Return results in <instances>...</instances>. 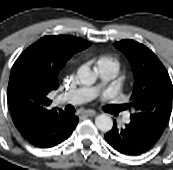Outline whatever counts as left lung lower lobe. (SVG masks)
<instances>
[{"label": "left lung lower lobe", "mask_w": 173, "mask_h": 170, "mask_svg": "<svg viewBox=\"0 0 173 170\" xmlns=\"http://www.w3.org/2000/svg\"><path fill=\"white\" fill-rule=\"evenodd\" d=\"M161 137L153 129L135 121L119 129L114 122L112 130L106 133V141L125 155H140L147 152Z\"/></svg>", "instance_id": "0a47b994"}]
</instances>
